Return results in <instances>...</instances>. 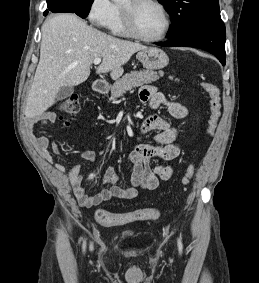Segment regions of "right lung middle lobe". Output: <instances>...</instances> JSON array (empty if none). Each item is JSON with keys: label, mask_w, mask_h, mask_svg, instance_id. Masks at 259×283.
<instances>
[{"label": "right lung middle lobe", "mask_w": 259, "mask_h": 283, "mask_svg": "<svg viewBox=\"0 0 259 283\" xmlns=\"http://www.w3.org/2000/svg\"><path fill=\"white\" fill-rule=\"evenodd\" d=\"M93 1L94 0H80L81 3L77 15L85 18L89 13V9Z\"/></svg>", "instance_id": "1"}]
</instances>
